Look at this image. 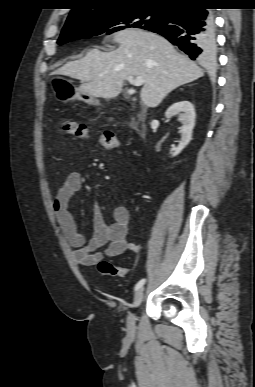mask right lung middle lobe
Segmentation results:
<instances>
[{"label": "right lung middle lobe", "instance_id": "1", "mask_svg": "<svg viewBox=\"0 0 255 387\" xmlns=\"http://www.w3.org/2000/svg\"><path fill=\"white\" fill-rule=\"evenodd\" d=\"M166 8L121 6L88 14L77 21L66 23L57 41L59 45L82 38H89L104 32H113L138 27L149 29L162 24Z\"/></svg>", "mask_w": 255, "mask_h": 387}]
</instances>
